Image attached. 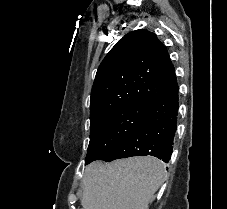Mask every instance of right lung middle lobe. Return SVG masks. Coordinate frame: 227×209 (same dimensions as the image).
Segmentation results:
<instances>
[{
    "label": "right lung middle lobe",
    "mask_w": 227,
    "mask_h": 209,
    "mask_svg": "<svg viewBox=\"0 0 227 209\" xmlns=\"http://www.w3.org/2000/svg\"><path fill=\"white\" fill-rule=\"evenodd\" d=\"M103 109L90 118V142L85 165L101 160L143 121L148 104L127 98L102 102Z\"/></svg>",
    "instance_id": "obj_1"
}]
</instances>
